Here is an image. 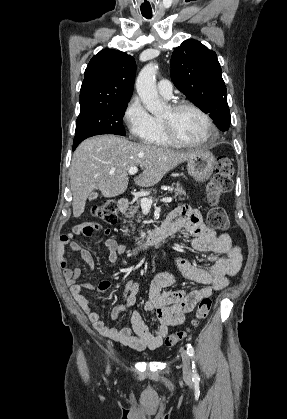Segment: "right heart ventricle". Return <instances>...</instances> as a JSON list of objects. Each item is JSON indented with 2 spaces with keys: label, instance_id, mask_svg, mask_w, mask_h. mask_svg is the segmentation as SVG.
Listing matches in <instances>:
<instances>
[{
  "label": "right heart ventricle",
  "instance_id": "obj_1",
  "mask_svg": "<svg viewBox=\"0 0 287 419\" xmlns=\"http://www.w3.org/2000/svg\"><path fill=\"white\" fill-rule=\"evenodd\" d=\"M155 126L152 133L144 140L145 143L155 146H170V143L165 137L161 122L159 119L154 118Z\"/></svg>",
  "mask_w": 287,
  "mask_h": 419
}]
</instances>
